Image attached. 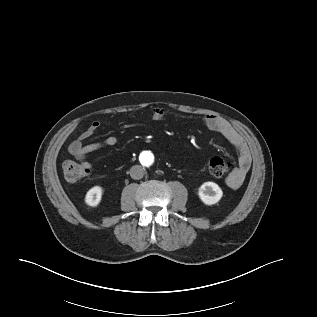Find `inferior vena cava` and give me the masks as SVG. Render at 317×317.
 <instances>
[{
    "mask_svg": "<svg viewBox=\"0 0 317 317\" xmlns=\"http://www.w3.org/2000/svg\"><path fill=\"white\" fill-rule=\"evenodd\" d=\"M130 176L133 179H141L144 176V170L140 165H134L130 169Z\"/></svg>",
    "mask_w": 317,
    "mask_h": 317,
    "instance_id": "obj_1",
    "label": "inferior vena cava"
}]
</instances>
